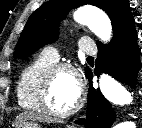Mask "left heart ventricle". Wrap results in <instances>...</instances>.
<instances>
[{
    "mask_svg": "<svg viewBox=\"0 0 142 128\" xmlns=\"http://www.w3.org/2000/svg\"><path fill=\"white\" fill-rule=\"evenodd\" d=\"M78 87L75 77L67 71L58 72L51 84L49 101L59 111L69 109L76 102Z\"/></svg>",
    "mask_w": 142,
    "mask_h": 128,
    "instance_id": "left-heart-ventricle-1",
    "label": "left heart ventricle"
}]
</instances>
